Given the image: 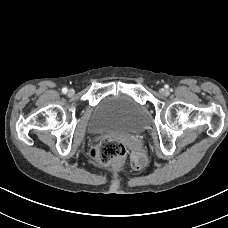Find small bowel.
<instances>
[{"instance_id":"c3829d8e","label":"small bowel","mask_w":228,"mask_h":228,"mask_svg":"<svg viewBox=\"0 0 228 228\" xmlns=\"http://www.w3.org/2000/svg\"><path fill=\"white\" fill-rule=\"evenodd\" d=\"M132 165L135 169H142L146 166V158L140 152H133L131 155Z\"/></svg>"}]
</instances>
